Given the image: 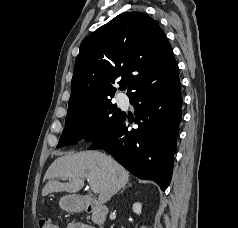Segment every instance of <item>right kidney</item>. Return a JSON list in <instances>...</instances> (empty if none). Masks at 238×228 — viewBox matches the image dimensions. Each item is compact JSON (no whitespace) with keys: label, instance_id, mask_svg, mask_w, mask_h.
<instances>
[{"label":"right kidney","instance_id":"ca27d5eb","mask_svg":"<svg viewBox=\"0 0 238 228\" xmlns=\"http://www.w3.org/2000/svg\"><path fill=\"white\" fill-rule=\"evenodd\" d=\"M141 209H142V205L141 203H134L133 206H132V210L134 213L140 215L141 214Z\"/></svg>","mask_w":238,"mask_h":228}]
</instances>
